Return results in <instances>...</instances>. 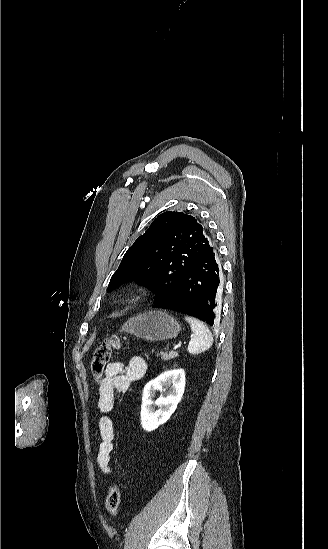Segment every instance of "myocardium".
I'll return each instance as SVG.
<instances>
[{
    "instance_id": "myocardium-1",
    "label": "myocardium",
    "mask_w": 328,
    "mask_h": 549,
    "mask_svg": "<svg viewBox=\"0 0 328 549\" xmlns=\"http://www.w3.org/2000/svg\"><path fill=\"white\" fill-rule=\"evenodd\" d=\"M143 291L144 289L140 284H130L123 290L122 296L125 299H136L141 297Z\"/></svg>"
}]
</instances>
